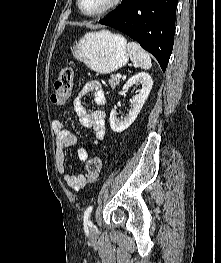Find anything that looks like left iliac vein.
Returning a JSON list of instances; mask_svg holds the SVG:
<instances>
[{
	"instance_id": "1",
	"label": "left iliac vein",
	"mask_w": 221,
	"mask_h": 263,
	"mask_svg": "<svg viewBox=\"0 0 221 263\" xmlns=\"http://www.w3.org/2000/svg\"><path fill=\"white\" fill-rule=\"evenodd\" d=\"M91 231H94V227L91 228Z\"/></svg>"
}]
</instances>
